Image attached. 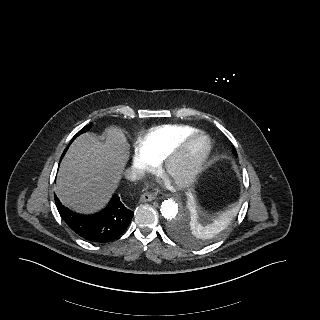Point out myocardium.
<instances>
[{"instance_id": "f54148a6", "label": "myocardium", "mask_w": 320, "mask_h": 320, "mask_svg": "<svg viewBox=\"0 0 320 320\" xmlns=\"http://www.w3.org/2000/svg\"><path fill=\"white\" fill-rule=\"evenodd\" d=\"M197 147L195 152L192 148ZM212 150L210 138L201 131L184 137L179 144L161 160V172L166 177H171L177 168L184 171L173 180L177 186L191 184L202 172Z\"/></svg>"}]
</instances>
